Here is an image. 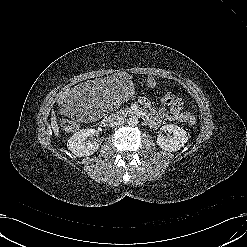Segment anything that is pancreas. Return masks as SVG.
<instances>
[{"label":"pancreas","instance_id":"obj_1","mask_svg":"<svg viewBox=\"0 0 247 247\" xmlns=\"http://www.w3.org/2000/svg\"><path fill=\"white\" fill-rule=\"evenodd\" d=\"M131 111V109H127V112Z\"/></svg>","mask_w":247,"mask_h":247}]
</instances>
